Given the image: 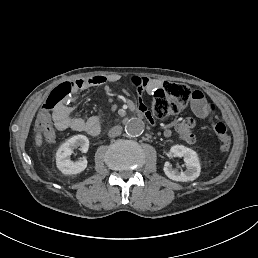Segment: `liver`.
<instances>
[{
  "label": "liver",
  "mask_w": 258,
  "mask_h": 258,
  "mask_svg": "<svg viewBox=\"0 0 258 258\" xmlns=\"http://www.w3.org/2000/svg\"><path fill=\"white\" fill-rule=\"evenodd\" d=\"M36 126L40 127L38 120L36 121ZM35 142H36L37 146H41L42 145V135H41V130L40 129L36 133Z\"/></svg>",
  "instance_id": "liver-1"
}]
</instances>
